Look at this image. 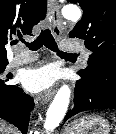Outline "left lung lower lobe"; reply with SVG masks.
Segmentation results:
<instances>
[{"label":"left lung lower lobe","instance_id":"obj_1","mask_svg":"<svg viewBox=\"0 0 116 134\" xmlns=\"http://www.w3.org/2000/svg\"><path fill=\"white\" fill-rule=\"evenodd\" d=\"M72 106L64 122L72 116L88 110H116V67H105L93 75L78 73Z\"/></svg>","mask_w":116,"mask_h":134}]
</instances>
